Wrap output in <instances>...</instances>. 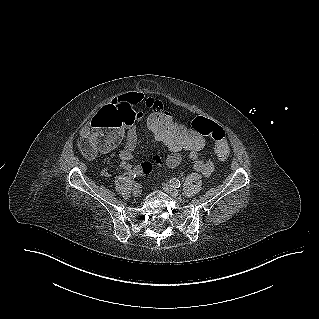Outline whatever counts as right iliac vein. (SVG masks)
<instances>
[{
    "label": "right iliac vein",
    "instance_id": "right-iliac-vein-1",
    "mask_svg": "<svg viewBox=\"0 0 319 319\" xmlns=\"http://www.w3.org/2000/svg\"><path fill=\"white\" fill-rule=\"evenodd\" d=\"M132 193L134 196H139L141 194V186L140 184H134Z\"/></svg>",
    "mask_w": 319,
    "mask_h": 319
}]
</instances>
